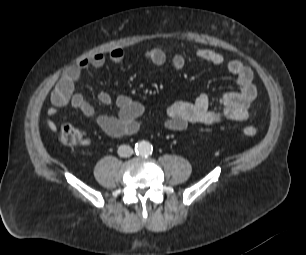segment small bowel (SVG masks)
I'll use <instances>...</instances> for the list:
<instances>
[{
	"instance_id": "1",
	"label": "small bowel",
	"mask_w": 306,
	"mask_h": 255,
	"mask_svg": "<svg viewBox=\"0 0 306 255\" xmlns=\"http://www.w3.org/2000/svg\"><path fill=\"white\" fill-rule=\"evenodd\" d=\"M124 56L121 48H114L109 52L108 57L102 53H96L69 66L50 94L52 107L48 109L47 125L49 129L56 130L54 120L56 108L70 105L84 116L94 119L99 128L108 136L123 137L136 133L140 128V118L144 113L142 103L124 94L112 96L109 92L104 91L98 95L99 102L103 105L114 103L118 108V113L115 116L98 115L92 104L82 94L75 92L76 84L84 70L103 68L107 58L114 63H120ZM142 56L156 66H162L167 62L166 53L158 47L147 49ZM195 56L214 66H224L234 76L239 89L223 94L219 99L221 105L219 109H211L210 99L204 93L198 95L193 102L176 101L172 103L166 110L165 127L171 131H183L195 123L212 125L224 119L246 120L249 117V108L257 96L252 70L241 61L227 60L221 53L211 49H197ZM170 65L176 70L183 69L186 65L185 56L180 53L173 55Z\"/></svg>"
}]
</instances>
